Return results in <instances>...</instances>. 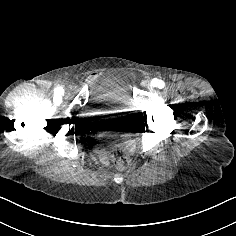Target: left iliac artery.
Listing matches in <instances>:
<instances>
[{"mask_svg":"<svg viewBox=\"0 0 236 236\" xmlns=\"http://www.w3.org/2000/svg\"><path fill=\"white\" fill-rule=\"evenodd\" d=\"M159 82H160V84H161V82H162V81H161V80H159ZM154 86L156 87V86H157V84H154Z\"/></svg>","mask_w":236,"mask_h":236,"instance_id":"44dca946","label":"left iliac artery"}]
</instances>
